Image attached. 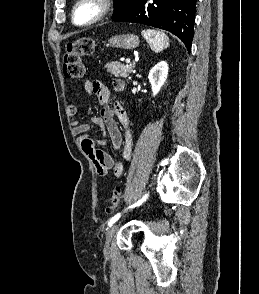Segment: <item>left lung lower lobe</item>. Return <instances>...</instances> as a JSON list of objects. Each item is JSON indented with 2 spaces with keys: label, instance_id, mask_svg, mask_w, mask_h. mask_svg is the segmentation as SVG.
<instances>
[{
  "label": "left lung lower lobe",
  "instance_id": "0a47b994",
  "mask_svg": "<svg viewBox=\"0 0 259 294\" xmlns=\"http://www.w3.org/2000/svg\"><path fill=\"white\" fill-rule=\"evenodd\" d=\"M195 10L196 0H136L133 7L112 19L167 30L180 38L190 52Z\"/></svg>",
  "mask_w": 259,
  "mask_h": 294
}]
</instances>
